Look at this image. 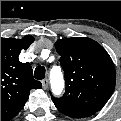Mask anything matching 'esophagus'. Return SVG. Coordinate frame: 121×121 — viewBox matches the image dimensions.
I'll use <instances>...</instances> for the list:
<instances>
[{"label": "esophagus", "instance_id": "1", "mask_svg": "<svg viewBox=\"0 0 121 121\" xmlns=\"http://www.w3.org/2000/svg\"><path fill=\"white\" fill-rule=\"evenodd\" d=\"M48 84H49L48 79L42 80V87L44 90L48 88Z\"/></svg>", "mask_w": 121, "mask_h": 121}]
</instances>
